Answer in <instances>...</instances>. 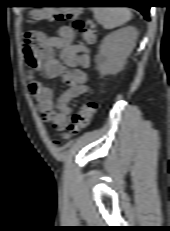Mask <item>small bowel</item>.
Instances as JSON below:
<instances>
[{
    "mask_svg": "<svg viewBox=\"0 0 170 231\" xmlns=\"http://www.w3.org/2000/svg\"><path fill=\"white\" fill-rule=\"evenodd\" d=\"M75 31L67 25L58 28L57 36L42 32L27 33L24 56L29 68V91L37 101L41 118L62 131L73 112L72 104L88 92L85 69L90 58L87 47L75 44ZM56 52L59 56H56ZM39 73L48 80L60 79L67 89L54 102L52 88L34 78Z\"/></svg>",
    "mask_w": 170,
    "mask_h": 231,
    "instance_id": "obj_1",
    "label": "small bowel"
}]
</instances>
